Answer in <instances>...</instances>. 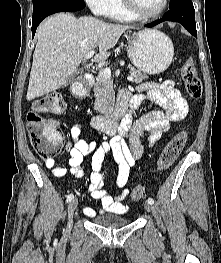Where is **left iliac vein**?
<instances>
[{"label": "left iliac vein", "instance_id": "4c4485c4", "mask_svg": "<svg viewBox=\"0 0 221 263\" xmlns=\"http://www.w3.org/2000/svg\"><path fill=\"white\" fill-rule=\"evenodd\" d=\"M144 207L145 209L148 211V212H151L152 211V204H150L149 202H146L144 204Z\"/></svg>", "mask_w": 221, "mask_h": 263}]
</instances>
